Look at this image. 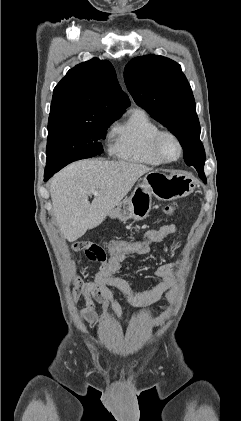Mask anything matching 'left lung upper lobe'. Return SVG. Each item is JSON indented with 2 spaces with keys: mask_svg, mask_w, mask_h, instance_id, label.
Masks as SVG:
<instances>
[{
  "mask_svg": "<svg viewBox=\"0 0 241 421\" xmlns=\"http://www.w3.org/2000/svg\"><path fill=\"white\" fill-rule=\"evenodd\" d=\"M135 102L179 140L187 163L204 168L205 151L191 87L175 61L156 55L132 59L124 70Z\"/></svg>",
  "mask_w": 241,
  "mask_h": 421,
  "instance_id": "1",
  "label": "left lung upper lobe"
}]
</instances>
